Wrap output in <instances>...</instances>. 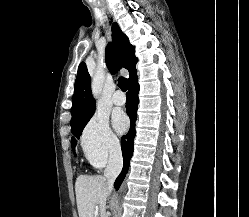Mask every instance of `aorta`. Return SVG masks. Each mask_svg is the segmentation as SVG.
Returning a JSON list of instances; mask_svg holds the SVG:
<instances>
[{
    "label": "aorta",
    "mask_w": 249,
    "mask_h": 217,
    "mask_svg": "<svg viewBox=\"0 0 249 217\" xmlns=\"http://www.w3.org/2000/svg\"><path fill=\"white\" fill-rule=\"evenodd\" d=\"M102 81H103V74L102 72H99L95 75L92 81V92L94 96H97L99 89L101 87Z\"/></svg>",
    "instance_id": "obj_1"
}]
</instances>
